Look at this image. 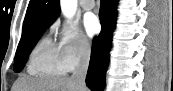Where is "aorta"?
<instances>
[{
	"label": "aorta",
	"mask_w": 173,
	"mask_h": 91,
	"mask_svg": "<svg viewBox=\"0 0 173 91\" xmlns=\"http://www.w3.org/2000/svg\"><path fill=\"white\" fill-rule=\"evenodd\" d=\"M61 10L67 17H72L77 8V0H60Z\"/></svg>",
	"instance_id": "obj_1"
}]
</instances>
